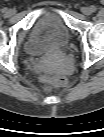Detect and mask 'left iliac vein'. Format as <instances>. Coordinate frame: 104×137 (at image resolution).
Wrapping results in <instances>:
<instances>
[{"label":"left iliac vein","mask_w":104,"mask_h":137,"mask_svg":"<svg viewBox=\"0 0 104 137\" xmlns=\"http://www.w3.org/2000/svg\"><path fill=\"white\" fill-rule=\"evenodd\" d=\"M81 11L84 15L88 16L92 13V8L91 7H82Z\"/></svg>","instance_id":"obj_1"}]
</instances>
